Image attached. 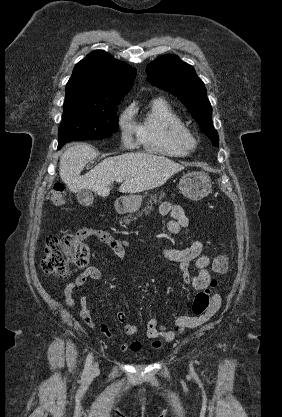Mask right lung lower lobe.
Masks as SVG:
<instances>
[{
	"instance_id": "obj_1",
	"label": "right lung lower lobe",
	"mask_w": 282,
	"mask_h": 417,
	"mask_svg": "<svg viewBox=\"0 0 282 417\" xmlns=\"http://www.w3.org/2000/svg\"><path fill=\"white\" fill-rule=\"evenodd\" d=\"M63 145H58V150L62 147Z\"/></svg>"
}]
</instances>
